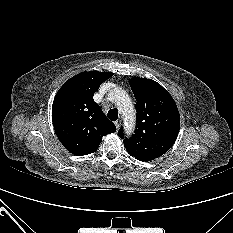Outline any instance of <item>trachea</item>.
I'll return each instance as SVG.
<instances>
[{"label":"trachea","mask_w":233,"mask_h":233,"mask_svg":"<svg viewBox=\"0 0 233 233\" xmlns=\"http://www.w3.org/2000/svg\"><path fill=\"white\" fill-rule=\"evenodd\" d=\"M108 118L111 120V121H116L118 119V110L116 109H111L109 110L108 112Z\"/></svg>","instance_id":"1"}]
</instances>
